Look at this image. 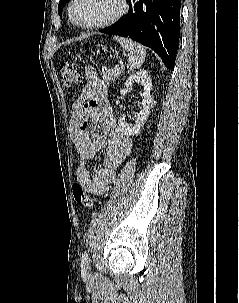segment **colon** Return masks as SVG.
<instances>
[{"mask_svg":"<svg viewBox=\"0 0 239 303\" xmlns=\"http://www.w3.org/2000/svg\"><path fill=\"white\" fill-rule=\"evenodd\" d=\"M60 71L62 75V82L65 86L76 85L82 80V72L77 64L73 61L63 62L60 66ZM72 194L75 202L78 204H81L86 208L93 206L92 198L85 193L84 189L79 184H75L72 187Z\"/></svg>","mask_w":239,"mask_h":303,"instance_id":"5ec220e1","label":"colon"}]
</instances>
